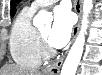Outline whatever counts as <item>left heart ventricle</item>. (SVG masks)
<instances>
[{
  "mask_svg": "<svg viewBox=\"0 0 102 75\" xmlns=\"http://www.w3.org/2000/svg\"><path fill=\"white\" fill-rule=\"evenodd\" d=\"M49 31H50V28L47 27V28L42 29L40 32L47 39L48 38Z\"/></svg>",
  "mask_w": 102,
  "mask_h": 75,
  "instance_id": "left-heart-ventricle-1",
  "label": "left heart ventricle"
}]
</instances>
